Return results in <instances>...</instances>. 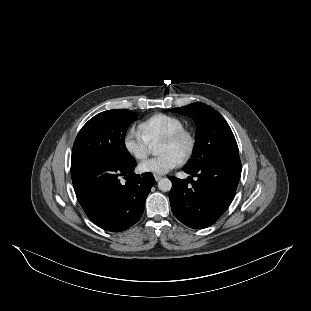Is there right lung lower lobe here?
<instances>
[{
	"label": "right lung lower lobe",
	"mask_w": 311,
	"mask_h": 311,
	"mask_svg": "<svg viewBox=\"0 0 311 311\" xmlns=\"http://www.w3.org/2000/svg\"><path fill=\"white\" fill-rule=\"evenodd\" d=\"M136 165V161L123 165L95 158L71 164L77 199L86 215L99 227L119 232L141 217L155 179L149 172L135 175ZM120 175L128 179L124 185L118 179Z\"/></svg>",
	"instance_id": "obj_1"
}]
</instances>
